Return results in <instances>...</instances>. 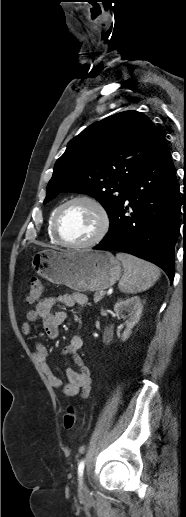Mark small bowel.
I'll return each instance as SVG.
<instances>
[{
    "mask_svg": "<svg viewBox=\"0 0 186 517\" xmlns=\"http://www.w3.org/2000/svg\"><path fill=\"white\" fill-rule=\"evenodd\" d=\"M58 303L69 307L85 306L88 304V298L82 293H68L57 297H46L42 299L34 309L27 313L26 321L22 324L23 334L31 335L32 324L41 320L45 334L50 339H56L59 336V327L67 318L66 312L53 311V307ZM82 345L83 340L81 336L74 335L71 337L69 344L62 351L63 355L71 358L73 364L78 369L74 370L68 368L66 370V382L47 365L46 358L48 351L42 343H36L34 355L48 383L53 388L61 389L64 395L69 397L80 394L83 399H87L91 392L92 376L89 368L85 365L83 358L79 354Z\"/></svg>",
    "mask_w": 186,
    "mask_h": 517,
    "instance_id": "small-bowel-1",
    "label": "small bowel"
}]
</instances>
